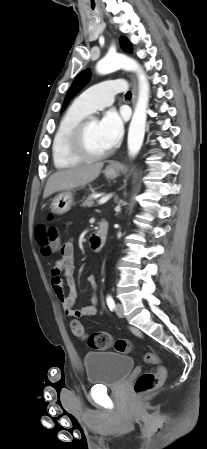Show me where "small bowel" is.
<instances>
[{"instance_id": "1", "label": "small bowel", "mask_w": 207, "mask_h": 449, "mask_svg": "<svg viewBox=\"0 0 207 449\" xmlns=\"http://www.w3.org/2000/svg\"><path fill=\"white\" fill-rule=\"evenodd\" d=\"M63 273L67 284L70 288L69 294H65L63 289V280L60 274ZM75 264H74V242L72 239L66 241L60 251V256L56 259L52 267V280L51 285L56 295L57 299L61 302L62 308L68 316L73 317H86L93 316L97 313V298L96 296L91 297V303L81 309L75 310L73 308L77 292L75 286ZM87 282L91 285L95 284V278L93 275L87 277Z\"/></svg>"}]
</instances>
